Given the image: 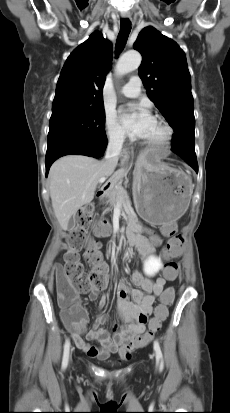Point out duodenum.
Instances as JSON below:
<instances>
[{"mask_svg": "<svg viewBox=\"0 0 230 413\" xmlns=\"http://www.w3.org/2000/svg\"><path fill=\"white\" fill-rule=\"evenodd\" d=\"M108 191V187L105 186L103 188H101L98 192H97V196L99 198H102ZM135 236H136V232L134 230H129L128 231V242L132 245H134L135 241Z\"/></svg>", "mask_w": 230, "mask_h": 413, "instance_id": "410a0bca", "label": "duodenum"}]
</instances>
